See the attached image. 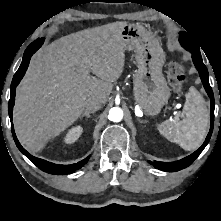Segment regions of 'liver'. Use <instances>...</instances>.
<instances>
[{
    "mask_svg": "<svg viewBox=\"0 0 221 221\" xmlns=\"http://www.w3.org/2000/svg\"><path fill=\"white\" fill-rule=\"evenodd\" d=\"M126 25L114 22L72 33L32 58L16 89L13 112L15 131L24 146L42 150L81 116L87 99L108 100L112 82L124 69L121 33Z\"/></svg>",
    "mask_w": 221,
    "mask_h": 221,
    "instance_id": "1",
    "label": "liver"
}]
</instances>
